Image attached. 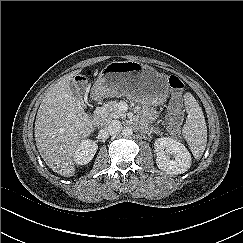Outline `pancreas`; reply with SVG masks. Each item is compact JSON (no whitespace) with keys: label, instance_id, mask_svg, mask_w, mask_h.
<instances>
[{"label":"pancreas","instance_id":"pancreas-1","mask_svg":"<svg viewBox=\"0 0 243 243\" xmlns=\"http://www.w3.org/2000/svg\"><path fill=\"white\" fill-rule=\"evenodd\" d=\"M103 118L110 120L113 118L125 117L126 113L119 108L117 101H108L101 107Z\"/></svg>","mask_w":243,"mask_h":243}]
</instances>
